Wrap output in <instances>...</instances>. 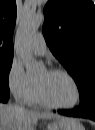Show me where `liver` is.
Wrapping results in <instances>:
<instances>
[{
	"label": "liver",
	"instance_id": "6515ba94",
	"mask_svg": "<svg viewBox=\"0 0 95 130\" xmlns=\"http://www.w3.org/2000/svg\"><path fill=\"white\" fill-rule=\"evenodd\" d=\"M64 117L50 112L20 110L12 104L0 105V130H36L38 120H61Z\"/></svg>",
	"mask_w": 95,
	"mask_h": 130
}]
</instances>
